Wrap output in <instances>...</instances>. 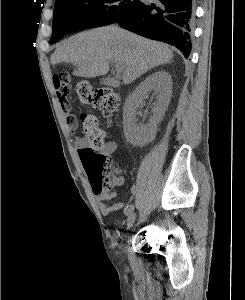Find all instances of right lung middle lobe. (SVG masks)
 Returning <instances> with one entry per match:
<instances>
[{"instance_id":"1","label":"right lung middle lobe","mask_w":245,"mask_h":300,"mask_svg":"<svg viewBox=\"0 0 245 300\" xmlns=\"http://www.w3.org/2000/svg\"><path fill=\"white\" fill-rule=\"evenodd\" d=\"M142 0H58L54 6L50 43L62 38L56 28L59 20L77 25L78 30L115 23L133 11Z\"/></svg>"}]
</instances>
